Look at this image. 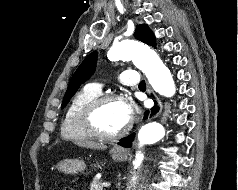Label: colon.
I'll use <instances>...</instances> for the list:
<instances>
[{
	"label": "colon",
	"instance_id": "5ec220e1",
	"mask_svg": "<svg viewBox=\"0 0 238 190\" xmlns=\"http://www.w3.org/2000/svg\"><path fill=\"white\" fill-rule=\"evenodd\" d=\"M63 190H74V189L71 187H65Z\"/></svg>",
	"mask_w": 238,
	"mask_h": 190
}]
</instances>
